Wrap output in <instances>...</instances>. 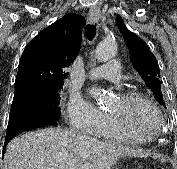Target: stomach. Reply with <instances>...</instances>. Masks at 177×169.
I'll use <instances>...</instances> for the list:
<instances>
[{
    "instance_id": "stomach-1",
    "label": "stomach",
    "mask_w": 177,
    "mask_h": 169,
    "mask_svg": "<svg viewBox=\"0 0 177 169\" xmlns=\"http://www.w3.org/2000/svg\"><path fill=\"white\" fill-rule=\"evenodd\" d=\"M111 169H117L116 167L112 166Z\"/></svg>"
}]
</instances>
